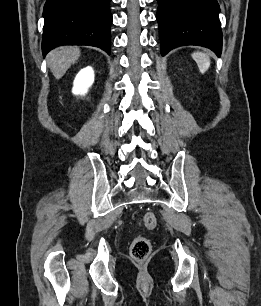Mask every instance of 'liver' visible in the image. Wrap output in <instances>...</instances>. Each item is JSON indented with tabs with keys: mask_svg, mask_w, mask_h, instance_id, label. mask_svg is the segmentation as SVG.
Returning a JSON list of instances; mask_svg holds the SVG:
<instances>
[{
	"mask_svg": "<svg viewBox=\"0 0 261 306\" xmlns=\"http://www.w3.org/2000/svg\"><path fill=\"white\" fill-rule=\"evenodd\" d=\"M80 56L78 47L54 49L47 55L48 66L56 79H60Z\"/></svg>",
	"mask_w": 261,
	"mask_h": 306,
	"instance_id": "1",
	"label": "liver"
}]
</instances>
